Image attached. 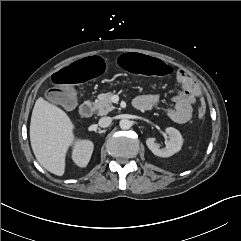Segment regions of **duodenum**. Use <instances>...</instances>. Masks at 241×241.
Returning a JSON list of instances; mask_svg holds the SVG:
<instances>
[{
    "label": "duodenum",
    "instance_id": "1",
    "mask_svg": "<svg viewBox=\"0 0 241 241\" xmlns=\"http://www.w3.org/2000/svg\"><path fill=\"white\" fill-rule=\"evenodd\" d=\"M134 108L138 111H145L143 105L140 103L134 104ZM93 112L92 104L90 101H84L79 107V113L84 118L91 117Z\"/></svg>",
    "mask_w": 241,
    "mask_h": 241
}]
</instances>
